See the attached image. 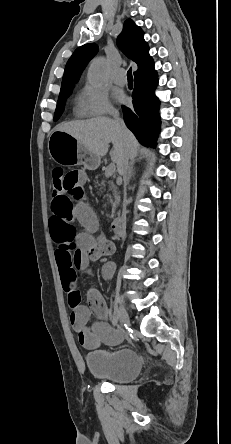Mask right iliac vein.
Here are the masks:
<instances>
[{"instance_id": "right-iliac-vein-1", "label": "right iliac vein", "mask_w": 231, "mask_h": 444, "mask_svg": "<svg viewBox=\"0 0 231 444\" xmlns=\"http://www.w3.org/2000/svg\"><path fill=\"white\" fill-rule=\"evenodd\" d=\"M118 315L121 324L129 326V316L124 307H119Z\"/></svg>"}]
</instances>
